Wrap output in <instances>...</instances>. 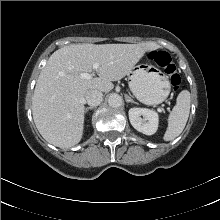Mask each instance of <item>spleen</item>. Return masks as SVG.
<instances>
[{
  "instance_id": "1",
  "label": "spleen",
  "mask_w": 220,
  "mask_h": 220,
  "mask_svg": "<svg viewBox=\"0 0 220 220\" xmlns=\"http://www.w3.org/2000/svg\"><path fill=\"white\" fill-rule=\"evenodd\" d=\"M191 96L188 90L181 91L168 117V127L163 136L165 141L174 140L184 130L190 113Z\"/></svg>"
}]
</instances>
